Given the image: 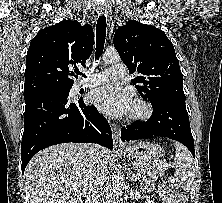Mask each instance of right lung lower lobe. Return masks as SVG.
Masks as SVG:
<instances>
[{
  "label": "right lung lower lobe",
  "instance_id": "98d812e1",
  "mask_svg": "<svg viewBox=\"0 0 222 203\" xmlns=\"http://www.w3.org/2000/svg\"><path fill=\"white\" fill-rule=\"evenodd\" d=\"M25 102L22 172L37 152L55 144L97 143L112 149L109 123L94 105H85L82 98L69 102L68 95L50 94Z\"/></svg>",
  "mask_w": 222,
  "mask_h": 203
}]
</instances>
